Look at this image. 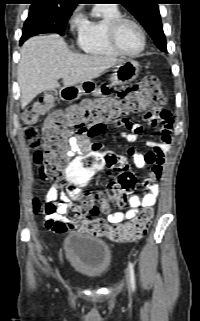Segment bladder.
I'll list each match as a JSON object with an SVG mask.
<instances>
[{"label":"bladder","instance_id":"31cf9c89","mask_svg":"<svg viewBox=\"0 0 200 321\" xmlns=\"http://www.w3.org/2000/svg\"><path fill=\"white\" fill-rule=\"evenodd\" d=\"M64 248L71 266L88 277L99 278L111 266V247L91 234L79 231L69 233L64 240Z\"/></svg>","mask_w":200,"mask_h":321}]
</instances>
